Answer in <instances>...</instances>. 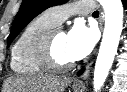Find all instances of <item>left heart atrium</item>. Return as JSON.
Masks as SVG:
<instances>
[{"label":"left heart atrium","mask_w":127,"mask_h":92,"mask_svg":"<svg viewBox=\"0 0 127 92\" xmlns=\"http://www.w3.org/2000/svg\"><path fill=\"white\" fill-rule=\"evenodd\" d=\"M96 42V32L93 28L77 22L67 34V48L73 60L86 57Z\"/></svg>","instance_id":"39dd6f15"}]
</instances>
